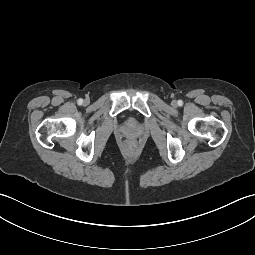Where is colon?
Masks as SVG:
<instances>
[{
    "mask_svg": "<svg viewBox=\"0 0 255 255\" xmlns=\"http://www.w3.org/2000/svg\"><path fill=\"white\" fill-rule=\"evenodd\" d=\"M136 140L134 139H129L126 141V145L129 147V148H134L136 146Z\"/></svg>",
    "mask_w": 255,
    "mask_h": 255,
    "instance_id": "5ec220e1",
    "label": "colon"
}]
</instances>
